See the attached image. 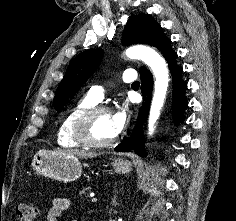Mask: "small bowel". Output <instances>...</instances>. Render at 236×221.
I'll return each mask as SVG.
<instances>
[{"label": "small bowel", "instance_id": "small-bowel-1", "mask_svg": "<svg viewBox=\"0 0 236 221\" xmlns=\"http://www.w3.org/2000/svg\"><path fill=\"white\" fill-rule=\"evenodd\" d=\"M70 207V200L67 198H55L52 206L49 208L46 221H59V218Z\"/></svg>", "mask_w": 236, "mask_h": 221}]
</instances>
